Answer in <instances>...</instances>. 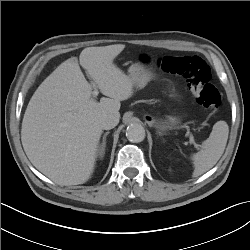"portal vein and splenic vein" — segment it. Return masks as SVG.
Masks as SVG:
<instances>
[{
    "label": "portal vein and splenic vein",
    "instance_id": "18ae733b",
    "mask_svg": "<svg viewBox=\"0 0 250 250\" xmlns=\"http://www.w3.org/2000/svg\"><path fill=\"white\" fill-rule=\"evenodd\" d=\"M98 94H99V91H98V89L96 88V86H94V91L92 92L93 97H97ZM188 134H189V136H190V142H191L192 144H194L196 147H198L199 145H197V144L195 143L193 135H192L189 131H188Z\"/></svg>",
    "mask_w": 250,
    "mask_h": 250
}]
</instances>
